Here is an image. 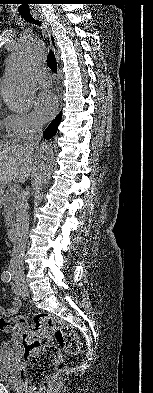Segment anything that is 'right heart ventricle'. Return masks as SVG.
I'll return each mask as SVG.
<instances>
[{
	"label": "right heart ventricle",
	"mask_w": 153,
	"mask_h": 393,
	"mask_svg": "<svg viewBox=\"0 0 153 393\" xmlns=\"http://www.w3.org/2000/svg\"><path fill=\"white\" fill-rule=\"evenodd\" d=\"M4 130L8 131L6 119L0 120V134H1Z\"/></svg>",
	"instance_id": "e07e8e85"
}]
</instances>
